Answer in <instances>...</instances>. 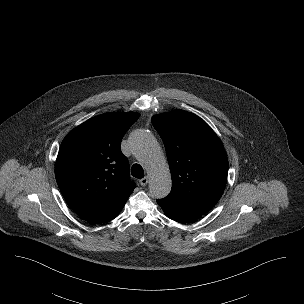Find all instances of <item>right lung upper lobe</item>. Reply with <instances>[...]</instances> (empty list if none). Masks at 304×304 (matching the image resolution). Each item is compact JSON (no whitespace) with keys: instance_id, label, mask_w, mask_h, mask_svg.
Segmentation results:
<instances>
[{"instance_id":"right-lung-upper-lobe-1","label":"right lung upper lobe","mask_w":304,"mask_h":304,"mask_svg":"<svg viewBox=\"0 0 304 304\" xmlns=\"http://www.w3.org/2000/svg\"><path fill=\"white\" fill-rule=\"evenodd\" d=\"M139 116L135 112L96 116L70 131L61 143L56 181L68 205L91 223L114 219L135 188L120 143Z\"/></svg>"}]
</instances>
